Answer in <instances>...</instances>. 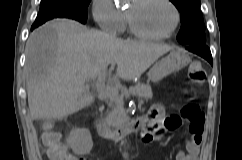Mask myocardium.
Instances as JSON below:
<instances>
[{
	"instance_id": "myocardium-1",
	"label": "myocardium",
	"mask_w": 242,
	"mask_h": 160,
	"mask_svg": "<svg viewBox=\"0 0 242 160\" xmlns=\"http://www.w3.org/2000/svg\"><path fill=\"white\" fill-rule=\"evenodd\" d=\"M164 1L173 9V11L175 13V22H174L173 27L164 34H157V35L148 34V33L143 32L142 30H140L138 28V26L136 25L133 17L128 12H126L127 23H128L131 33L134 36H136L137 38H140V39H144V40L156 41V40H163V39L169 38L176 32V30L178 29L180 22H181L180 10L177 7V5L173 2V0H164Z\"/></svg>"
}]
</instances>
